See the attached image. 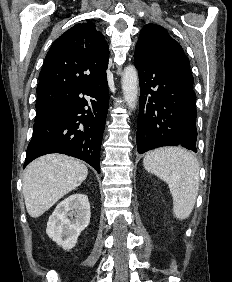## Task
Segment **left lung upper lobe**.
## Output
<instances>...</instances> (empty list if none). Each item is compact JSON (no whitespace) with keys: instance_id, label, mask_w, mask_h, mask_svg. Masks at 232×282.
<instances>
[{"instance_id":"left-lung-upper-lobe-1","label":"left lung upper lobe","mask_w":232,"mask_h":282,"mask_svg":"<svg viewBox=\"0 0 232 282\" xmlns=\"http://www.w3.org/2000/svg\"><path fill=\"white\" fill-rule=\"evenodd\" d=\"M172 54L185 56L181 45L169 35L165 28L156 24H147L141 29L135 55L144 58H160Z\"/></svg>"}]
</instances>
